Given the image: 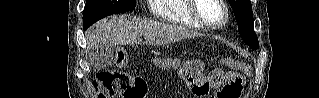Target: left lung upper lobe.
<instances>
[{"label":"left lung upper lobe","instance_id":"obj_1","mask_svg":"<svg viewBox=\"0 0 319 98\" xmlns=\"http://www.w3.org/2000/svg\"><path fill=\"white\" fill-rule=\"evenodd\" d=\"M242 39L252 48L258 49V38L253 28V12L250 0H229Z\"/></svg>","mask_w":319,"mask_h":98}]
</instances>
